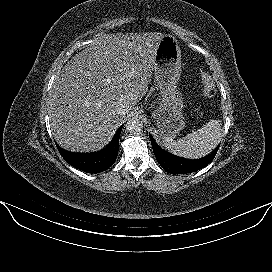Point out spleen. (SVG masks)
Masks as SVG:
<instances>
[{
	"mask_svg": "<svg viewBox=\"0 0 272 272\" xmlns=\"http://www.w3.org/2000/svg\"><path fill=\"white\" fill-rule=\"evenodd\" d=\"M221 138V121L210 120L197 131L182 139L164 137L163 146L171 153L184 158H201L209 154L219 143Z\"/></svg>",
	"mask_w": 272,
	"mask_h": 272,
	"instance_id": "1",
	"label": "spleen"
}]
</instances>
